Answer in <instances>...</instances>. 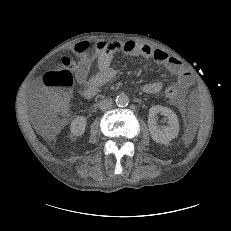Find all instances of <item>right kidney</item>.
<instances>
[{
	"label": "right kidney",
	"mask_w": 231,
	"mask_h": 231,
	"mask_svg": "<svg viewBox=\"0 0 231 231\" xmlns=\"http://www.w3.org/2000/svg\"><path fill=\"white\" fill-rule=\"evenodd\" d=\"M87 125V120L84 116H77L72 122H71V134L74 137L82 136L85 132V128Z\"/></svg>",
	"instance_id": "1"
}]
</instances>
